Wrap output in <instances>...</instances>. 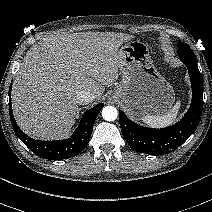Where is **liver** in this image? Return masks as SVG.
I'll use <instances>...</instances> for the list:
<instances>
[{
  "label": "liver",
  "mask_w": 212,
  "mask_h": 212,
  "mask_svg": "<svg viewBox=\"0 0 212 212\" xmlns=\"http://www.w3.org/2000/svg\"><path fill=\"white\" fill-rule=\"evenodd\" d=\"M134 36L115 33H59L26 53L12 88V106L29 136H67L78 117L77 92L99 99L118 78L119 46Z\"/></svg>",
  "instance_id": "liver-1"
}]
</instances>
